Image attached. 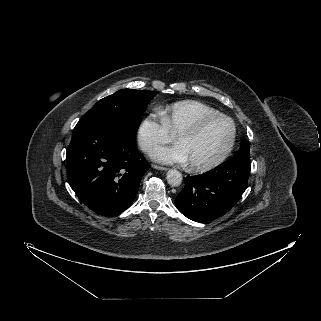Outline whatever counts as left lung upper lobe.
<instances>
[{"label": "left lung upper lobe", "mask_w": 321, "mask_h": 321, "mask_svg": "<svg viewBox=\"0 0 321 321\" xmlns=\"http://www.w3.org/2000/svg\"><path fill=\"white\" fill-rule=\"evenodd\" d=\"M249 149H250V143L249 142H243V144L240 146V149H239L237 154L250 157Z\"/></svg>", "instance_id": "1"}]
</instances>
